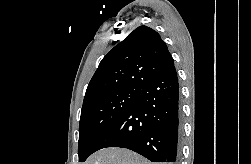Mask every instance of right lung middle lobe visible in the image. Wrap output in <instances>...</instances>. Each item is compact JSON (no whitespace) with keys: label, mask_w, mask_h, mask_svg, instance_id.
<instances>
[{"label":"right lung middle lobe","mask_w":251,"mask_h":164,"mask_svg":"<svg viewBox=\"0 0 251 164\" xmlns=\"http://www.w3.org/2000/svg\"><path fill=\"white\" fill-rule=\"evenodd\" d=\"M138 92L137 88L119 89L83 104L79 125V162H84L93 153L98 141L136 101Z\"/></svg>","instance_id":"obj_1"}]
</instances>
